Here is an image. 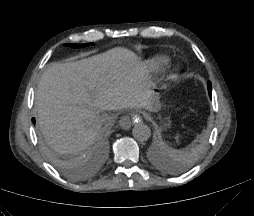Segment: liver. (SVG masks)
Here are the masks:
<instances>
[{"label": "liver", "instance_id": "obj_1", "mask_svg": "<svg viewBox=\"0 0 254 216\" xmlns=\"http://www.w3.org/2000/svg\"><path fill=\"white\" fill-rule=\"evenodd\" d=\"M142 66L124 48L50 64L35 93L37 122L47 144L61 155L76 154L113 126L115 111L153 110ZM97 116L106 118L100 129L93 124Z\"/></svg>", "mask_w": 254, "mask_h": 216}]
</instances>
